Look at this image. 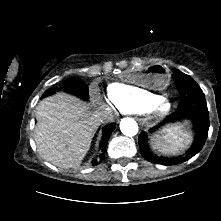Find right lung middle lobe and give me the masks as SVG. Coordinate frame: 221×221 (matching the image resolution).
<instances>
[{
	"mask_svg": "<svg viewBox=\"0 0 221 221\" xmlns=\"http://www.w3.org/2000/svg\"><path fill=\"white\" fill-rule=\"evenodd\" d=\"M64 88H66L68 92L78 95L83 99L88 98V88H87L86 84L78 78H72V79L68 80L64 84ZM52 93H53V90H47L43 94V97L50 95Z\"/></svg>",
	"mask_w": 221,
	"mask_h": 221,
	"instance_id": "right-lung-middle-lobe-1",
	"label": "right lung middle lobe"
}]
</instances>
